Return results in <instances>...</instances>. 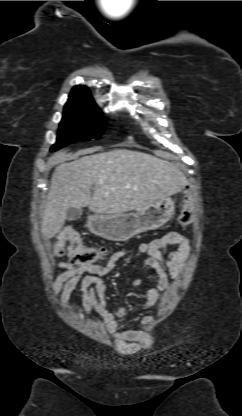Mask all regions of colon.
Here are the masks:
<instances>
[{
	"label": "colon",
	"mask_w": 242,
	"mask_h": 416,
	"mask_svg": "<svg viewBox=\"0 0 242 416\" xmlns=\"http://www.w3.org/2000/svg\"><path fill=\"white\" fill-rule=\"evenodd\" d=\"M194 213V202L190 196H186L182 210L177 217V223L180 226H186L192 223ZM52 254L55 257L67 254L69 261L76 265L92 264L106 254L103 247L87 246L81 237L72 230H63L52 248Z\"/></svg>",
	"instance_id": "5ec220e1"
}]
</instances>
